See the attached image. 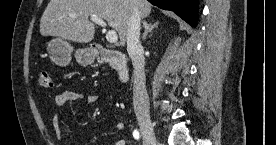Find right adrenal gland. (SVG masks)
Returning <instances> with one entry per match:
<instances>
[{"label": "right adrenal gland", "instance_id": "2a0ac1e0", "mask_svg": "<svg viewBox=\"0 0 276 145\" xmlns=\"http://www.w3.org/2000/svg\"><path fill=\"white\" fill-rule=\"evenodd\" d=\"M159 25V22H155L154 24H149L147 23L146 20L143 21V27L145 29L144 33H143V36H142V39L145 40L148 33H150L154 28H157Z\"/></svg>", "mask_w": 276, "mask_h": 145}]
</instances>
